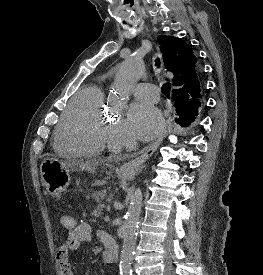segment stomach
I'll list each match as a JSON object with an SVG mask.
<instances>
[{
  "label": "stomach",
  "mask_w": 263,
  "mask_h": 275,
  "mask_svg": "<svg viewBox=\"0 0 263 275\" xmlns=\"http://www.w3.org/2000/svg\"><path fill=\"white\" fill-rule=\"evenodd\" d=\"M74 167L56 158H46L40 166L41 181L47 192L59 197L71 182L70 172Z\"/></svg>",
  "instance_id": "stomach-1"
}]
</instances>
